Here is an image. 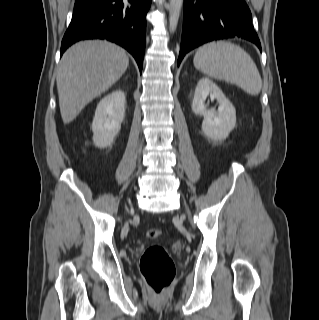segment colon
I'll return each instance as SVG.
<instances>
[{
    "label": "colon",
    "mask_w": 319,
    "mask_h": 320,
    "mask_svg": "<svg viewBox=\"0 0 319 320\" xmlns=\"http://www.w3.org/2000/svg\"><path fill=\"white\" fill-rule=\"evenodd\" d=\"M161 234V230L157 228L146 232L150 239L158 238ZM140 270L153 297H161L166 292L175 273L174 263L161 245H151L145 250L140 261Z\"/></svg>",
    "instance_id": "5ec220e1"
}]
</instances>
